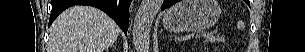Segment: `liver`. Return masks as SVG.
<instances>
[{"instance_id": "obj_1", "label": "liver", "mask_w": 305, "mask_h": 52, "mask_svg": "<svg viewBox=\"0 0 305 52\" xmlns=\"http://www.w3.org/2000/svg\"><path fill=\"white\" fill-rule=\"evenodd\" d=\"M119 33L118 25L99 9L70 7L50 28L49 52H104Z\"/></svg>"}]
</instances>
